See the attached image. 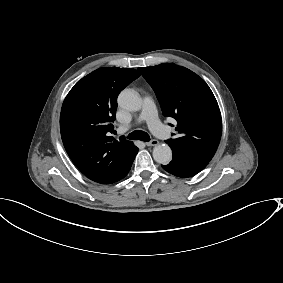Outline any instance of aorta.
<instances>
[{
  "label": "aorta",
  "mask_w": 283,
  "mask_h": 283,
  "mask_svg": "<svg viewBox=\"0 0 283 283\" xmlns=\"http://www.w3.org/2000/svg\"><path fill=\"white\" fill-rule=\"evenodd\" d=\"M141 98L130 90L122 91L118 96V105L128 111H138L141 108ZM153 158L157 163L168 164L172 159V150L167 144H159L153 148Z\"/></svg>",
  "instance_id": "762f6f07"
}]
</instances>
